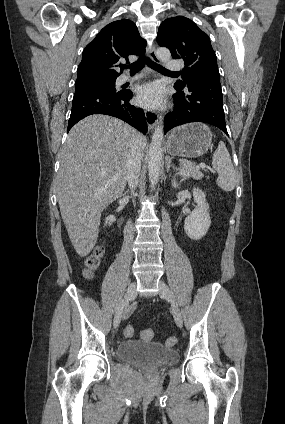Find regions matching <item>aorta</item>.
<instances>
[{"label":"aorta","mask_w":285,"mask_h":424,"mask_svg":"<svg viewBox=\"0 0 285 424\" xmlns=\"http://www.w3.org/2000/svg\"><path fill=\"white\" fill-rule=\"evenodd\" d=\"M157 58L162 62L171 59V53L167 48L161 47L156 50ZM163 121L159 120L151 138L148 157V176L151 189H155L159 181L162 166V141H163Z\"/></svg>","instance_id":"aorta-1"}]
</instances>
